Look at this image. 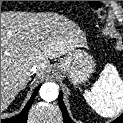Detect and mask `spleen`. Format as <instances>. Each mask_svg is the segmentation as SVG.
Listing matches in <instances>:
<instances>
[{"instance_id":"spleen-1","label":"spleen","mask_w":123,"mask_h":123,"mask_svg":"<svg viewBox=\"0 0 123 123\" xmlns=\"http://www.w3.org/2000/svg\"><path fill=\"white\" fill-rule=\"evenodd\" d=\"M89 106L100 116L114 117L123 110V82L111 64H106L98 80L83 92Z\"/></svg>"}]
</instances>
